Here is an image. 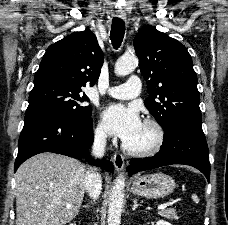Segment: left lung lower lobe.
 Returning a JSON list of instances; mask_svg holds the SVG:
<instances>
[{
    "label": "left lung lower lobe",
    "mask_w": 228,
    "mask_h": 225,
    "mask_svg": "<svg viewBox=\"0 0 228 225\" xmlns=\"http://www.w3.org/2000/svg\"><path fill=\"white\" fill-rule=\"evenodd\" d=\"M164 131L160 151L153 157L132 159L127 167L128 174L171 164H184L200 170L209 182V150L201 124L178 121Z\"/></svg>",
    "instance_id": "left-lung-lower-lobe-1"
}]
</instances>
